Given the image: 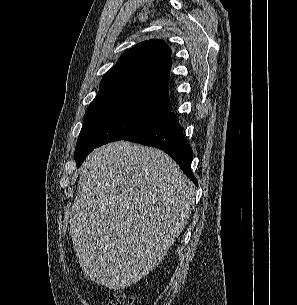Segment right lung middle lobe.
I'll use <instances>...</instances> for the list:
<instances>
[{
	"mask_svg": "<svg viewBox=\"0 0 297 305\" xmlns=\"http://www.w3.org/2000/svg\"><path fill=\"white\" fill-rule=\"evenodd\" d=\"M89 107L75 149L78 167L94 148L125 139L171 111L167 103L140 97L116 98Z\"/></svg>",
	"mask_w": 297,
	"mask_h": 305,
	"instance_id": "1",
	"label": "right lung middle lobe"
}]
</instances>
